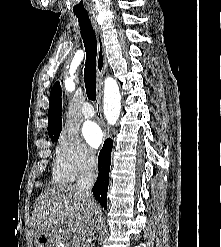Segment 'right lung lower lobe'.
Wrapping results in <instances>:
<instances>
[{"instance_id":"right-lung-lower-lobe-1","label":"right lung lower lobe","mask_w":221,"mask_h":247,"mask_svg":"<svg viewBox=\"0 0 221 247\" xmlns=\"http://www.w3.org/2000/svg\"><path fill=\"white\" fill-rule=\"evenodd\" d=\"M113 148V142L111 139H106L103 148L98 157V178L93 186V195L99 201V203L106 209L107 207V191L109 184V171L111 162V151Z\"/></svg>"}]
</instances>
